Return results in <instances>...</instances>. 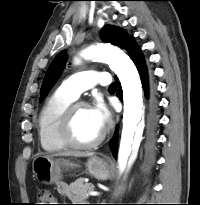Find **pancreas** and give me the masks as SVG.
Masks as SVG:
<instances>
[{
  "mask_svg": "<svg viewBox=\"0 0 200 205\" xmlns=\"http://www.w3.org/2000/svg\"><path fill=\"white\" fill-rule=\"evenodd\" d=\"M92 183H84V178H78L69 186V198L72 201H84L88 197V193L94 190Z\"/></svg>",
  "mask_w": 200,
  "mask_h": 205,
  "instance_id": "obj_1",
  "label": "pancreas"
}]
</instances>
